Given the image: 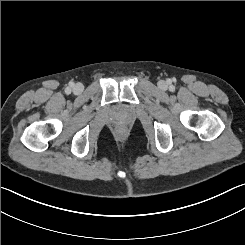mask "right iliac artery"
Listing matches in <instances>:
<instances>
[{
  "label": "right iliac artery",
  "instance_id": "obj_1",
  "mask_svg": "<svg viewBox=\"0 0 245 245\" xmlns=\"http://www.w3.org/2000/svg\"><path fill=\"white\" fill-rule=\"evenodd\" d=\"M70 91H71L70 88H67L66 92L69 93Z\"/></svg>",
  "mask_w": 245,
  "mask_h": 245
}]
</instances>
